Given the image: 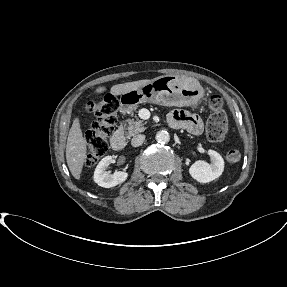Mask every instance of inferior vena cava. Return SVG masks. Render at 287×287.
I'll use <instances>...</instances> for the list:
<instances>
[{"instance_id":"inferior-vena-cava-1","label":"inferior vena cava","mask_w":287,"mask_h":287,"mask_svg":"<svg viewBox=\"0 0 287 287\" xmlns=\"http://www.w3.org/2000/svg\"><path fill=\"white\" fill-rule=\"evenodd\" d=\"M144 140H145V135L143 134L136 135L132 138L131 145L133 147H139L143 144Z\"/></svg>"}]
</instances>
